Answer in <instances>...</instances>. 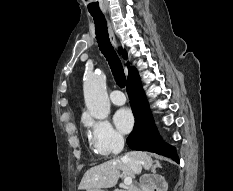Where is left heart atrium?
I'll return each mask as SVG.
<instances>
[{"label": "left heart atrium", "instance_id": "left-heart-atrium-1", "mask_svg": "<svg viewBox=\"0 0 233 191\" xmlns=\"http://www.w3.org/2000/svg\"><path fill=\"white\" fill-rule=\"evenodd\" d=\"M116 127L122 133H128L134 125V117L128 108L119 109L114 115Z\"/></svg>", "mask_w": 233, "mask_h": 191}]
</instances>
